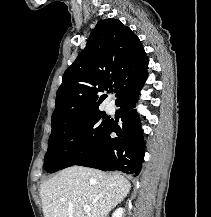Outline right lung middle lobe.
<instances>
[{
    "instance_id": "dd1d6c3e",
    "label": "right lung middle lobe",
    "mask_w": 211,
    "mask_h": 217,
    "mask_svg": "<svg viewBox=\"0 0 211 217\" xmlns=\"http://www.w3.org/2000/svg\"><path fill=\"white\" fill-rule=\"evenodd\" d=\"M109 124L105 113L96 110L52 128L44 169L54 173L87 157L100 144Z\"/></svg>"
}]
</instances>
